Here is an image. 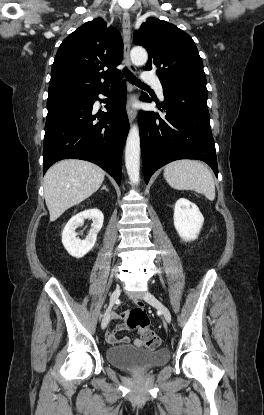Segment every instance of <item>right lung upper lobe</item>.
<instances>
[{"label": "right lung upper lobe", "mask_w": 264, "mask_h": 415, "mask_svg": "<svg viewBox=\"0 0 264 415\" xmlns=\"http://www.w3.org/2000/svg\"><path fill=\"white\" fill-rule=\"evenodd\" d=\"M122 48L119 32L107 28L102 18L77 28L57 51L48 100L84 97L107 89L120 72L116 67L122 60Z\"/></svg>", "instance_id": "cb5924a9"}]
</instances>
